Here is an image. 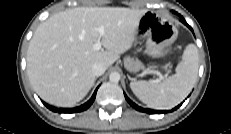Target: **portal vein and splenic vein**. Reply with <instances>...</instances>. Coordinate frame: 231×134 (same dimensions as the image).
<instances>
[{"instance_id":"obj_1","label":"portal vein and splenic vein","mask_w":231,"mask_h":134,"mask_svg":"<svg viewBox=\"0 0 231 134\" xmlns=\"http://www.w3.org/2000/svg\"><path fill=\"white\" fill-rule=\"evenodd\" d=\"M98 31H99V34H100V38H102L104 36V34H105V28L103 26H100L98 28ZM93 48L96 51H99L102 48V43H101L100 39L93 45ZM159 76H160V79H163L162 75L159 74Z\"/></svg>"}]
</instances>
